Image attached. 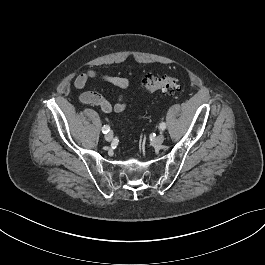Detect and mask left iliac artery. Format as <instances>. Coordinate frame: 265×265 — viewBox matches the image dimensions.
<instances>
[{"mask_svg":"<svg viewBox=\"0 0 265 265\" xmlns=\"http://www.w3.org/2000/svg\"><path fill=\"white\" fill-rule=\"evenodd\" d=\"M166 128V124L164 122L160 123L159 129L164 130Z\"/></svg>","mask_w":265,"mask_h":265,"instance_id":"obj_1","label":"left iliac artery"}]
</instances>
